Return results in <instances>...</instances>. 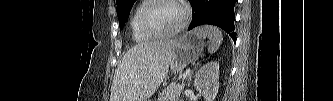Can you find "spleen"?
Listing matches in <instances>:
<instances>
[{"label":"spleen","mask_w":333,"mask_h":101,"mask_svg":"<svg viewBox=\"0 0 333 101\" xmlns=\"http://www.w3.org/2000/svg\"><path fill=\"white\" fill-rule=\"evenodd\" d=\"M197 34L201 35L203 38H207L210 41L208 46V52H216L223 40L222 32L219 28L215 26H204L194 30Z\"/></svg>","instance_id":"3e777b00"}]
</instances>
